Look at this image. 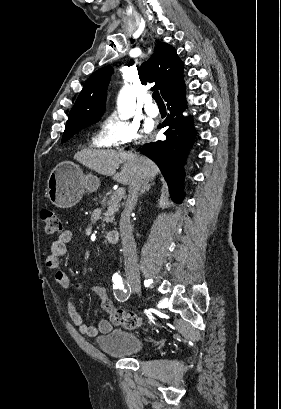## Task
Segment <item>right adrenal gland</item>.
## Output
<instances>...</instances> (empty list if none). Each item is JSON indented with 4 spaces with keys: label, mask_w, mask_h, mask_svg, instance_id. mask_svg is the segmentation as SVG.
I'll return each instance as SVG.
<instances>
[{
    "label": "right adrenal gland",
    "mask_w": 281,
    "mask_h": 409,
    "mask_svg": "<svg viewBox=\"0 0 281 409\" xmlns=\"http://www.w3.org/2000/svg\"><path fill=\"white\" fill-rule=\"evenodd\" d=\"M152 184H155L154 180H148V178H146V180H144L143 182V186H141V190L139 192V194H144V192H148V190H150Z\"/></svg>",
    "instance_id": "1"
}]
</instances>
